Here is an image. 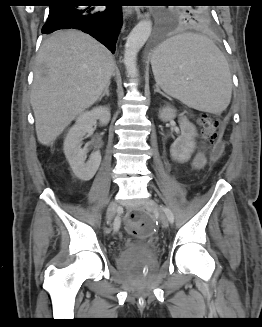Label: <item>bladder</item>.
Instances as JSON below:
<instances>
[{
	"instance_id": "1",
	"label": "bladder",
	"mask_w": 262,
	"mask_h": 327,
	"mask_svg": "<svg viewBox=\"0 0 262 327\" xmlns=\"http://www.w3.org/2000/svg\"><path fill=\"white\" fill-rule=\"evenodd\" d=\"M144 244L142 243H136L132 244L128 247H125L119 255V263L121 264L124 259L127 258H132L134 257L137 253L140 252L141 248H143Z\"/></svg>"
}]
</instances>
